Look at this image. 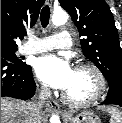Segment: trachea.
Returning a JSON list of instances; mask_svg holds the SVG:
<instances>
[{
    "label": "trachea",
    "mask_w": 122,
    "mask_h": 123,
    "mask_svg": "<svg viewBox=\"0 0 122 123\" xmlns=\"http://www.w3.org/2000/svg\"><path fill=\"white\" fill-rule=\"evenodd\" d=\"M49 18H50V8L49 6H44L41 10L40 14V20H41V25L42 27H46L49 23Z\"/></svg>",
    "instance_id": "1"
}]
</instances>
